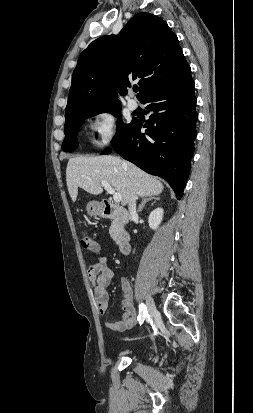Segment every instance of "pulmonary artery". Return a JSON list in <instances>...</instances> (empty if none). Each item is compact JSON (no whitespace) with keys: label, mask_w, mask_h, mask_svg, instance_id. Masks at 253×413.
<instances>
[{"label":"pulmonary artery","mask_w":253,"mask_h":413,"mask_svg":"<svg viewBox=\"0 0 253 413\" xmlns=\"http://www.w3.org/2000/svg\"><path fill=\"white\" fill-rule=\"evenodd\" d=\"M127 106L132 111L136 110L138 107V102L134 98L130 97L127 101Z\"/></svg>","instance_id":"1"}]
</instances>
